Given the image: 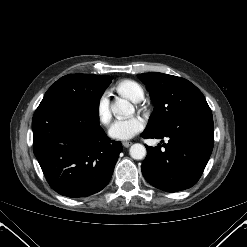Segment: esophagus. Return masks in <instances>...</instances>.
I'll return each instance as SVG.
<instances>
[{
    "instance_id": "1",
    "label": "esophagus",
    "mask_w": 247,
    "mask_h": 247,
    "mask_svg": "<svg viewBox=\"0 0 247 247\" xmlns=\"http://www.w3.org/2000/svg\"><path fill=\"white\" fill-rule=\"evenodd\" d=\"M122 144H123L124 147L128 148V147H130L132 145V142L124 141Z\"/></svg>"
}]
</instances>
